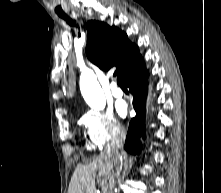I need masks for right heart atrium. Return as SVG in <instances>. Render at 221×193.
<instances>
[{
    "label": "right heart atrium",
    "mask_w": 221,
    "mask_h": 193,
    "mask_svg": "<svg viewBox=\"0 0 221 193\" xmlns=\"http://www.w3.org/2000/svg\"><path fill=\"white\" fill-rule=\"evenodd\" d=\"M90 140L97 147H105L122 138L125 129L119 119L109 111H89L83 118Z\"/></svg>",
    "instance_id": "right-heart-atrium-1"
}]
</instances>
